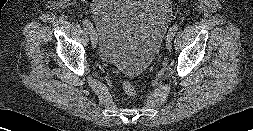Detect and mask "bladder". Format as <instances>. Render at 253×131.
I'll use <instances>...</instances> for the list:
<instances>
[{
    "label": "bladder",
    "mask_w": 253,
    "mask_h": 131,
    "mask_svg": "<svg viewBox=\"0 0 253 131\" xmlns=\"http://www.w3.org/2000/svg\"><path fill=\"white\" fill-rule=\"evenodd\" d=\"M171 16L168 0H96L99 58L124 74L140 75L159 51Z\"/></svg>",
    "instance_id": "bladder-1"
}]
</instances>
